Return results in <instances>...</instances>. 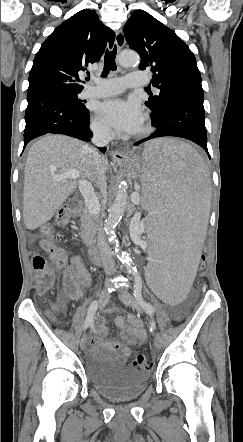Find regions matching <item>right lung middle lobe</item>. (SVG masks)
<instances>
[{"instance_id":"obj_1","label":"right lung middle lobe","mask_w":243,"mask_h":442,"mask_svg":"<svg viewBox=\"0 0 243 442\" xmlns=\"http://www.w3.org/2000/svg\"><path fill=\"white\" fill-rule=\"evenodd\" d=\"M62 92H64L65 94H67L70 98H72V100L77 104L78 108L80 111L82 112H87L88 109H86L85 105H84V101L80 100L78 98V94L81 91H64L62 90Z\"/></svg>"}]
</instances>
